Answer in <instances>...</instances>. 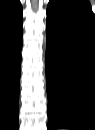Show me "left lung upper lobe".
I'll list each match as a JSON object with an SVG mask.
<instances>
[{
    "label": "left lung upper lobe",
    "instance_id": "obj_1",
    "mask_svg": "<svg viewBox=\"0 0 95 130\" xmlns=\"http://www.w3.org/2000/svg\"><path fill=\"white\" fill-rule=\"evenodd\" d=\"M47 12L51 14L84 15L94 19L89 2L82 0H50Z\"/></svg>",
    "mask_w": 95,
    "mask_h": 130
}]
</instances>
